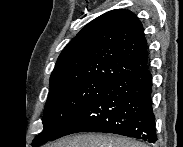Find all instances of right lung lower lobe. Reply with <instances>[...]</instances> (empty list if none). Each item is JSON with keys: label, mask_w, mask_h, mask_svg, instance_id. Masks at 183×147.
<instances>
[{"label": "right lung lower lobe", "mask_w": 183, "mask_h": 147, "mask_svg": "<svg viewBox=\"0 0 183 147\" xmlns=\"http://www.w3.org/2000/svg\"><path fill=\"white\" fill-rule=\"evenodd\" d=\"M152 74L148 68L102 88L62 126L53 140L78 132H104L154 143Z\"/></svg>", "instance_id": "98d812e1"}]
</instances>
